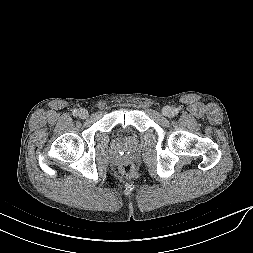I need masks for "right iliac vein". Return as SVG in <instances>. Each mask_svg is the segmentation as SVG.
<instances>
[{
  "instance_id": "1",
  "label": "right iliac vein",
  "mask_w": 253,
  "mask_h": 253,
  "mask_svg": "<svg viewBox=\"0 0 253 253\" xmlns=\"http://www.w3.org/2000/svg\"><path fill=\"white\" fill-rule=\"evenodd\" d=\"M78 116L82 119H85L88 116V111L86 109L79 110Z\"/></svg>"
}]
</instances>
